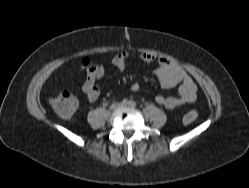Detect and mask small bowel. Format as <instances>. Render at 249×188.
<instances>
[{
	"label": "small bowel",
	"mask_w": 249,
	"mask_h": 188,
	"mask_svg": "<svg viewBox=\"0 0 249 188\" xmlns=\"http://www.w3.org/2000/svg\"><path fill=\"white\" fill-rule=\"evenodd\" d=\"M130 57V53L121 52L111 59V63L123 71L126 69ZM136 57L146 63H157V66L153 69V74L158 79L161 87L171 88L181 84L178 95H157L155 101L159 105L172 110L196 100L197 85L180 65L149 52H140L136 54ZM82 65L86 71V79L82 87L84 96L88 102H95L100 96L97 81L104 77L105 67L99 64H91L88 59H84ZM132 90L138 91L139 85L137 83L133 84Z\"/></svg>",
	"instance_id": "obj_1"
}]
</instances>
